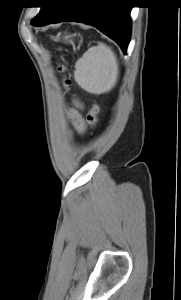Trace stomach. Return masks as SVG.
<instances>
[{"instance_id":"0dacf381","label":"stomach","mask_w":181,"mask_h":300,"mask_svg":"<svg viewBox=\"0 0 181 300\" xmlns=\"http://www.w3.org/2000/svg\"><path fill=\"white\" fill-rule=\"evenodd\" d=\"M72 37H73V35H66V36H64L63 41L66 43H68V42L73 43ZM59 39H60V37L57 36L55 40L58 41Z\"/></svg>"}]
</instances>
